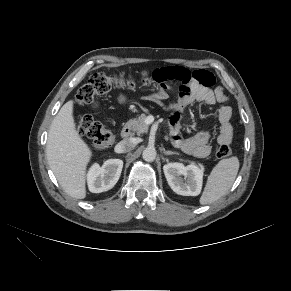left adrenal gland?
<instances>
[{
  "instance_id": "1",
  "label": "left adrenal gland",
  "mask_w": 291,
  "mask_h": 291,
  "mask_svg": "<svg viewBox=\"0 0 291 291\" xmlns=\"http://www.w3.org/2000/svg\"><path fill=\"white\" fill-rule=\"evenodd\" d=\"M163 153L165 154V155H173V154H178L177 152H173V151H169V150H163Z\"/></svg>"
}]
</instances>
